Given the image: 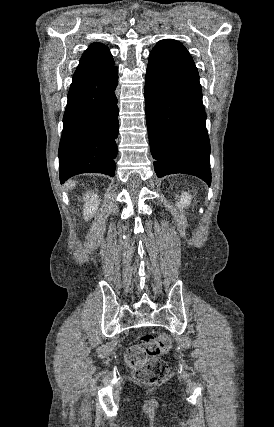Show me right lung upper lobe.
Wrapping results in <instances>:
<instances>
[{"instance_id": "right-lung-upper-lobe-1", "label": "right lung upper lobe", "mask_w": 274, "mask_h": 427, "mask_svg": "<svg viewBox=\"0 0 274 427\" xmlns=\"http://www.w3.org/2000/svg\"><path fill=\"white\" fill-rule=\"evenodd\" d=\"M109 49L101 43H93L84 52L75 74L97 71L113 63Z\"/></svg>"}]
</instances>
